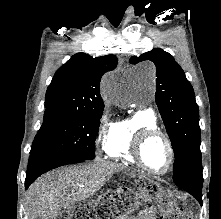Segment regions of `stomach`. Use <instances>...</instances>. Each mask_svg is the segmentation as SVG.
Instances as JSON below:
<instances>
[{"instance_id":"stomach-1","label":"stomach","mask_w":221,"mask_h":219,"mask_svg":"<svg viewBox=\"0 0 221 219\" xmlns=\"http://www.w3.org/2000/svg\"><path fill=\"white\" fill-rule=\"evenodd\" d=\"M140 183H150L145 190L146 204H163V199H171L170 190H163L156 178H140Z\"/></svg>"}]
</instances>
